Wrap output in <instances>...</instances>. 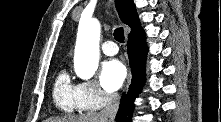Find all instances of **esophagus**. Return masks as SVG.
<instances>
[{
    "label": "esophagus",
    "instance_id": "obj_1",
    "mask_svg": "<svg viewBox=\"0 0 221 122\" xmlns=\"http://www.w3.org/2000/svg\"><path fill=\"white\" fill-rule=\"evenodd\" d=\"M130 81H131V73L129 72L128 77H127V81H126V86H125V90L127 91L130 85Z\"/></svg>",
    "mask_w": 221,
    "mask_h": 122
}]
</instances>
